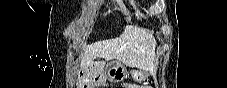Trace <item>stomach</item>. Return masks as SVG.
Returning a JSON list of instances; mask_svg holds the SVG:
<instances>
[{"instance_id":"0dacf381","label":"stomach","mask_w":227,"mask_h":88,"mask_svg":"<svg viewBox=\"0 0 227 88\" xmlns=\"http://www.w3.org/2000/svg\"><path fill=\"white\" fill-rule=\"evenodd\" d=\"M132 78L136 82H142L146 79V75L141 70L130 71ZM128 75L126 68L119 61H112L106 65V76L111 82L123 81Z\"/></svg>"}]
</instances>
